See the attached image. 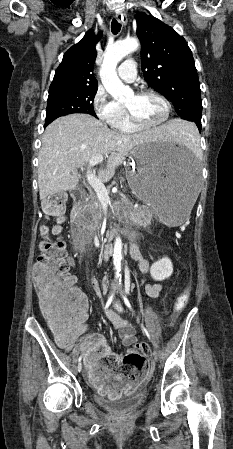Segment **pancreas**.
<instances>
[{
  "instance_id": "obj_1",
  "label": "pancreas",
  "mask_w": 233,
  "mask_h": 449,
  "mask_svg": "<svg viewBox=\"0 0 233 449\" xmlns=\"http://www.w3.org/2000/svg\"><path fill=\"white\" fill-rule=\"evenodd\" d=\"M83 210L87 211L91 215L92 220L90 221V224L95 230L98 227L104 212L102 203L98 199L97 195L90 194ZM114 210L117 212V215L122 218L130 219L133 224L138 227H147L150 225L154 216V212L145 206L133 208L125 203L119 202L114 206Z\"/></svg>"
}]
</instances>
